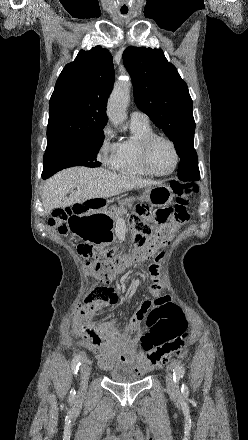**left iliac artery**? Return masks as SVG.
<instances>
[{"label": "left iliac artery", "mask_w": 248, "mask_h": 440, "mask_svg": "<svg viewBox=\"0 0 248 440\" xmlns=\"http://www.w3.org/2000/svg\"><path fill=\"white\" fill-rule=\"evenodd\" d=\"M184 369H183V367L180 365V363L179 362H175L174 363V367H173V378H174V382L176 383V384H178L179 383V381L181 380V378H183V376H184ZM181 391H182V394L185 396V397H187L188 396V393H189V391H188V387H187V385L186 384H182V387H181Z\"/></svg>", "instance_id": "1"}]
</instances>
